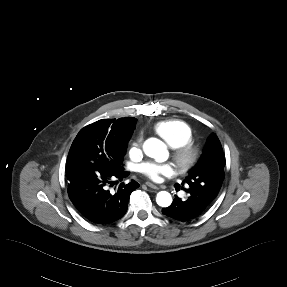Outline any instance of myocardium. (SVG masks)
<instances>
[{
	"label": "myocardium",
	"mask_w": 287,
	"mask_h": 287,
	"mask_svg": "<svg viewBox=\"0 0 287 287\" xmlns=\"http://www.w3.org/2000/svg\"><path fill=\"white\" fill-rule=\"evenodd\" d=\"M199 156L198 147L191 142L174 150V159L182 171L191 169L197 163Z\"/></svg>",
	"instance_id": "myocardium-1"
}]
</instances>
